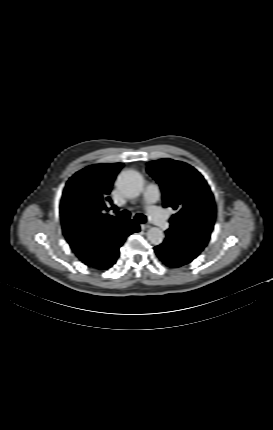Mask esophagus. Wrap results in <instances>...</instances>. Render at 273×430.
I'll use <instances>...</instances> for the list:
<instances>
[{"label":"esophagus","instance_id":"1","mask_svg":"<svg viewBox=\"0 0 273 430\" xmlns=\"http://www.w3.org/2000/svg\"><path fill=\"white\" fill-rule=\"evenodd\" d=\"M148 228H150L149 224H141V229L142 230H145V229H148Z\"/></svg>","mask_w":273,"mask_h":430}]
</instances>
